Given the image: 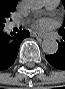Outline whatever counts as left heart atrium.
Here are the masks:
<instances>
[{
  "instance_id": "obj_1",
  "label": "left heart atrium",
  "mask_w": 65,
  "mask_h": 89,
  "mask_svg": "<svg viewBox=\"0 0 65 89\" xmlns=\"http://www.w3.org/2000/svg\"><path fill=\"white\" fill-rule=\"evenodd\" d=\"M48 25H49V21L48 20H41L37 24V27L40 28V29H44V28L48 27Z\"/></svg>"
}]
</instances>
